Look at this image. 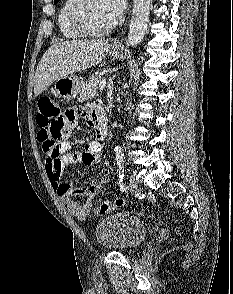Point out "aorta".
<instances>
[{
  "label": "aorta",
  "instance_id": "obj_1",
  "mask_svg": "<svg viewBox=\"0 0 233 294\" xmlns=\"http://www.w3.org/2000/svg\"><path fill=\"white\" fill-rule=\"evenodd\" d=\"M151 0H133L132 17L129 25L128 43L131 47H136L144 38L149 14ZM117 165L121 166L124 162V154L119 146L114 148Z\"/></svg>",
  "mask_w": 233,
  "mask_h": 294
}]
</instances>
